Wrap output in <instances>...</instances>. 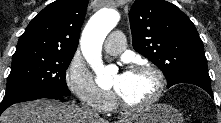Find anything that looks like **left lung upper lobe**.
Masks as SVG:
<instances>
[{
	"label": "left lung upper lobe",
	"mask_w": 221,
	"mask_h": 123,
	"mask_svg": "<svg viewBox=\"0 0 221 123\" xmlns=\"http://www.w3.org/2000/svg\"><path fill=\"white\" fill-rule=\"evenodd\" d=\"M129 19L133 48L162 70L167 87L190 79L211 82L203 42L177 6L164 0H136Z\"/></svg>",
	"instance_id": "obj_1"
}]
</instances>
